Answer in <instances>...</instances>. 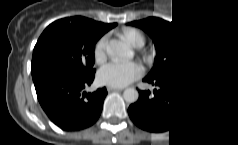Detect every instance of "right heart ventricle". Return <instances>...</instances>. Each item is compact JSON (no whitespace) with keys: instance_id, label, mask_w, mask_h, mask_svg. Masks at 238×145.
Wrapping results in <instances>:
<instances>
[{"instance_id":"1","label":"right heart ventricle","mask_w":238,"mask_h":145,"mask_svg":"<svg viewBox=\"0 0 238 145\" xmlns=\"http://www.w3.org/2000/svg\"><path fill=\"white\" fill-rule=\"evenodd\" d=\"M122 36L125 37L131 43H135L137 40H140V35L131 28H126L122 31Z\"/></svg>"}]
</instances>
